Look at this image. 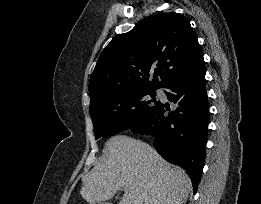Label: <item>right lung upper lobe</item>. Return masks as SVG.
<instances>
[{
    "label": "right lung upper lobe",
    "instance_id": "right-lung-upper-lobe-1",
    "mask_svg": "<svg viewBox=\"0 0 261 204\" xmlns=\"http://www.w3.org/2000/svg\"><path fill=\"white\" fill-rule=\"evenodd\" d=\"M203 51L189 21L158 13L113 38L91 74L90 107L130 90H156L193 68Z\"/></svg>",
    "mask_w": 261,
    "mask_h": 204
}]
</instances>
